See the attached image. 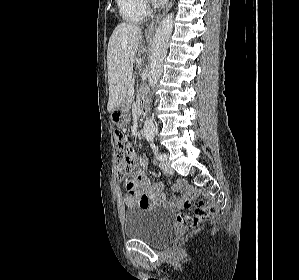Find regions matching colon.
Segmentation results:
<instances>
[{"instance_id": "colon-1", "label": "colon", "mask_w": 299, "mask_h": 280, "mask_svg": "<svg viewBox=\"0 0 299 280\" xmlns=\"http://www.w3.org/2000/svg\"><path fill=\"white\" fill-rule=\"evenodd\" d=\"M114 138L117 150L118 176L124 179L134 166L133 152L129 147L126 132L116 130ZM185 190L190 197L184 204V211L178 213L176 216V220L182 228H196L215 217L217 209L214 205L205 202L202 196L193 188L185 187Z\"/></svg>"}]
</instances>
